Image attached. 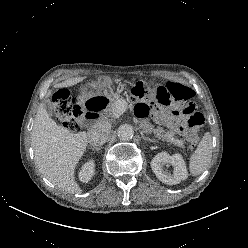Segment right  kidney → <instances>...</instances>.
<instances>
[{
    "label": "right kidney",
    "mask_w": 248,
    "mask_h": 248,
    "mask_svg": "<svg viewBox=\"0 0 248 248\" xmlns=\"http://www.w3.org/2000/svg\"><path fill=\"white\" fill-rule=\"evenodd\" d=\"M94 165V161L90 160L82 166V169L79 172V180L81 182L87 183L91 180L92 176L94 175Z\"/></svg>",
    "instance_id": "1"
}]
</instances>
